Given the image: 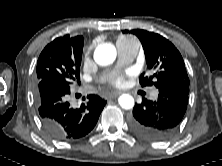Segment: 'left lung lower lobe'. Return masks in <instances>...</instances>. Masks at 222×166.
<instances>
[{"mask_svg":"<svg viewBox=\"0 0 222 166\" xmlns=\"http://www.w3.org/2000/svg\"><path fill=\"white\" fill-rule=\"evenodd\" d=\"M157 101L142 99L135 104L130 125L140 137L149 141H164L179 127L188 104L189 86L166 83L159 88Z\"/></svg>","mask_w":222,"mask_h":166,"instance_id":"left-lung-lower-lobe-1","label":"left lung lower lobe"}]
</instances>
